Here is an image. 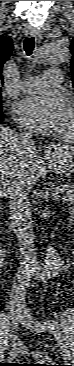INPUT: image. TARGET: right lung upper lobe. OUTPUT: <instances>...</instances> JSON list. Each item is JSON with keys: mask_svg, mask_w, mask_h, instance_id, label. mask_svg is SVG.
<instances>
[{"mask_svg": "<svg viewBox=\"0 0 74 366\" xmlns=\"http://www.w3.org/2000/svg\"><path fill=\"white\" fill-rule=\"evenodd\" d=\"M13 50L12 39L8 37L0 38V86L4 83L2 74L3 64L9 59ZM1 89V88H0Z\"/></svg>", "mask_w": 74, "mask_h": 366, "instance_id": "cb5924a9", "label": "right lung upper lobe"}]
</instances>
